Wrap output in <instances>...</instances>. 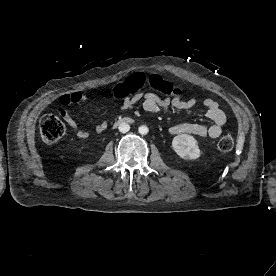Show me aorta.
<instances>
[{
  "instance_id": "aorta-1",
  "label": "aorta",
  "mask_w": 276,
  "mask_h": 276,
  "mask_svg": "<svg viewBox=\"0 0 276 276\" xmlns=\"http://www.w3.org/2000/svg\"><path fill=\"white\" fill-rule=\"evenodd\" d=\"M149 129L147 126L145 125H142L138 128V132L141 134V135H146L148 133Z\"/></svg>"
}]
</instances>
